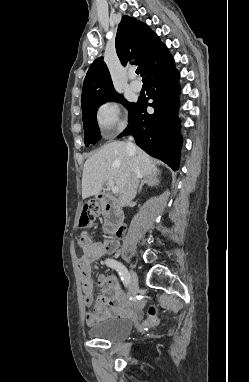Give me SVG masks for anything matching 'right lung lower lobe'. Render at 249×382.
I'll return each instance as SVG.
<instances>
[{
	"mask_svg": "<svg viewBox=\"0 0 249 382\" xmlns=\"http://www.w3.org/2000/svg\"><path fill=\"white\" fill-rule=\"evenodd\" d=\"M145 76L150 87L149 96L139 97L129 115L127 128L118 137L134 135L139 147L176 171L182 144L177 117L180 88L179 73L171 55L168 53L157 60L147 69ZM148 99H153V102L148 103ZM147 106L153 107L154 113H148Z\"/></svg>",
	"mask_w": 249,
	"mask_h": 382,
	"instance_id": "obj_1",
	"label": "right lung lower lobe"
}]
</instances>
